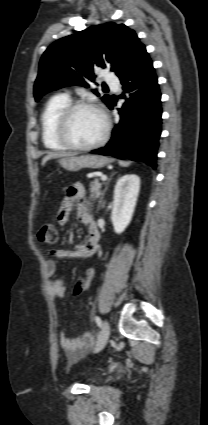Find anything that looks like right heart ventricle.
<instances>
[{
	"label": "right heart ventricle",
	"mask_w": 208,
	"mask_h": 425,
	"mask_svg": "<svg viewBox=\"0 0 208 425\" xmlns=\"http://www.w3.org/2000/svg\"><path fill=\"white\" fill-rule=\"evenodd\" d=\"M71 103L67 94H57L49 99L41 115V135L44 146L51 151H65L56 137L57 120L60 113Z\"/></svg>",
	"instance_id": "obj_1"
}]
</instances>
